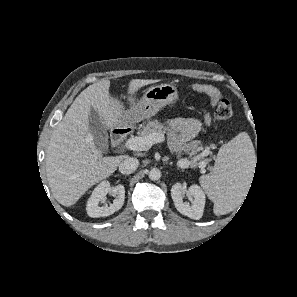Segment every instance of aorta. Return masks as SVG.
I'll return each instance as SVG.
<instances>
[{"mask_svg":"<svg viewBox=\"0 0 297 297\" xmlns=\"http://www.w3.org/2000/svg\"><path fill=\"white\" fill-rule=\"evenodd\" d=\"M149 178L152 180V181H156V180H159L160 177H161V171L158 169V168H152L150 171H149Z\"/></svg>","mask_w":297,"mask_h":297,"instance_id":"aorta-1","label":"aorta"}]
</instances>
